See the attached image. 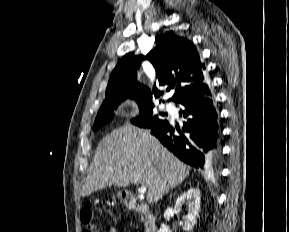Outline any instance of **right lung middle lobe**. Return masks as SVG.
<instances>
[{
  "mask_svg": "<svg viewBox=\"0 0 289 232\" xmlns=\"http://www.w3.org/2000/svg\"><path fill=\"white\" fill-rule=\"evenodd\" d=\"M128 97L118 96L113 97L110 99L105 100L104 103H102L98 113L97 117L94 122L93 130L99 129L104 124L110 122L113 119L114 116V110L118 107V105ZM135 99V98H134ZM136 102L139 104L140 114L138 117L132 119V123L139 126V127H147V128H153L162 122L166 121L161 118V116H164V113H155L153 111L154 105L152 102L144 101L135 99Z\"/></svg>",
  "mask_w": 289,
  "mask_h": 232,
  "instance_id": "dd1d6c3e",
  "label": "right lung middle lobe"
}]
</instances>
